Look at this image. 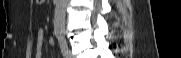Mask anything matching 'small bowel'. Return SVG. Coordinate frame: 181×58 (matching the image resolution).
I'll list each match as a JSON object with an SVG mask.
<instances>
[{
    "label": "small bowel",
    "mask_w": 181,
    "mask_h": 58,
    "mask_svg": "<svg viewBox=\"0 0 181 58\" xmlns=\"http://www.w3.org/2000/svg\"><path fill=\"white\" fill-rule=\"evenodd\" d=\"M43 39H44V29L38 28L36 35V43L34 46L36 58H43ZM54 43H55L54 39L50 38L49 44L54 45Z\"/></svg>",
    "instance_id": "c3829d8e"
}]
</instances>
